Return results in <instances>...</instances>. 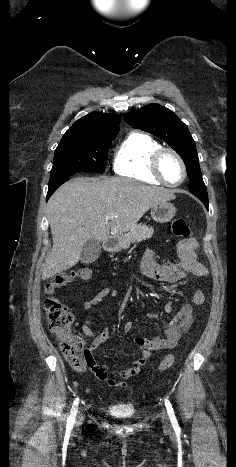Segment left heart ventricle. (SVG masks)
I'll list each match as a JSON object with an SVG mask.
<instances>
[{"label":"left heart ventricle","mask_w":236,"mask_h":467,"mask_svg":"<svg viewBox=\"0 0 236 467\" xmlns=\"http://www.w3.org/2000/svg\"><path fill=\"white\" fill-rule=\"evenodd\" d=\"M161 171L169 183H178L183 176L179 161L171 154L166 153L161 160Z\"/></svg>","instance_id":"b2bd125f"}]
</instances>
